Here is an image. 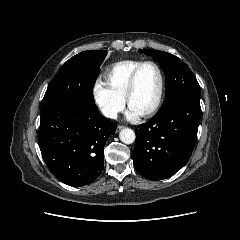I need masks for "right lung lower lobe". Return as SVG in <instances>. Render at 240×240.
<instances>
[{
  "instance_id": "98d812e1",
  "label": "right lung lower lobe",
  "mask_w": 240,
  "mask_h": 240,
  "mask_svg": "<svg viewBox=\"0 0 240 240\" xmlns=\"http://www.w3.org/2000/svg\"><path fill=\"white\" fill-rule=\"evenodd\" d=\"M39 147L52 172L63 183L84 186L104 168V146L117 125L98 109L63 104L40 114Z\"/></svg>"
}]
</instances>
